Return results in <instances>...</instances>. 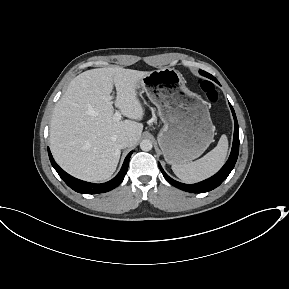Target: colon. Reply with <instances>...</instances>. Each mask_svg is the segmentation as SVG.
Returning <instances> with one entry per match:
<instances>
[{"label":"colon","instance_id":"colon-1","mask_svg":"<svg viewBox=\"0 0 289 289\" xmlns=\"http://www.w3.org/2000/svg\"><path fill=\"white\" fill-rule=\"evenodd\" d=\"M199 91L210 103H215L218 98L217 91L215 90L214 85L208 81L203 79H198L197 81Z\"/></svg>","mask_w":289,"mask_h":289}]
</instances>
